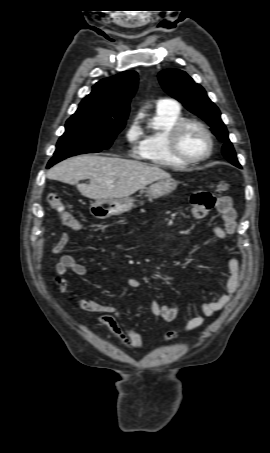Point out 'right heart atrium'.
Returning a JSON list of instances; mask_svg holds the SVG:
<instances>
[{
    "label": "right heart atrium",
    "instance_id": "1",
    "mask_svg": "<svg viewBox=\"0 0 270 453\" xmlns=\"http://www.w3.org/2000/svg\"><path fill=\"white\" fill-rule=\"evenodd\" d=\"M141 129L136 120L132 121L126 129L125 140L130 147V153L135 154L140 145Z\"/></svg>",
    "mask_w": 270,
    "mask_h": 453
}]
</instances>
